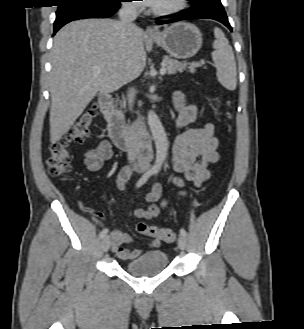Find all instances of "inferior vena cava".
<instances>
[{"instance_id": "602c4592", "label": "inferior vena cava", "mask_w": 304, "mask_h": 329, "mask_svg": "<svg viewBox=\"0 0 304 329\" xmlns=\"http://www.w3.org/2000/svg\"><path fill=\"white\" fill-rule=\"evenodd\" d=\"M138 12L137 7L130 3V2H124L119 10V21L118 25L121 30V32L126 35L131 30H133L136 25L134 23L135 19L137 18ZM135 89H129L128 91V104L129 109L132 111L134 100H135ZM140 148V142L139 137L136 133V130L134 127L130 130V141H129V150H128V159L130 162H134L137 154L139 152Z\"/></svg>"}]
</instances>
